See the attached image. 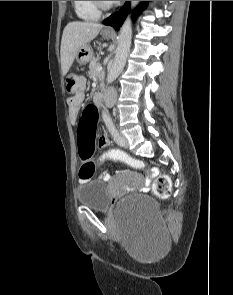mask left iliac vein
<instances>
[{
	"mask_svg": "<svg viewBox=\"0 0 233 295\" xmlns=\"http://www.w3.org/2000/svg\"><path fill=\"white\" fill-rule=\"evenodd\" d=\"M120 137H121V140H123L125 142L123 145L120 144V146H122L124 148H127L128 147V141H127V139L124 136H120Z\"/></svg>",
	"mask_w": 233,
	"mask_h": 295,
	"instance_id": "1",
	"label": "left iliac vein"
}]
</instances>
